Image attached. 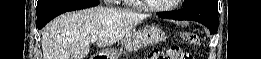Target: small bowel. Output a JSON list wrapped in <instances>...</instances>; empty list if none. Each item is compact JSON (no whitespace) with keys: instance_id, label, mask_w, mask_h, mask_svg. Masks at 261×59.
I'll list each match as a JSON object with an SVG mask.
<instances>
[{"instance_id":"small-bowel-1","label":"small bowel","mask_w":261,"mask_h":59,"mask_svg":"<svg viewBox=\"0 0 261 59\" xmlns=\"http://www.w3.org/2000/svg\"><path fill=\"white\" fill-rule=\"evenodd\" d=\"M156 51H158V50H154V51L150 54V56H149L150 59H152V58H151V55L154 54Z\"/></svg>"}]
</instances>
